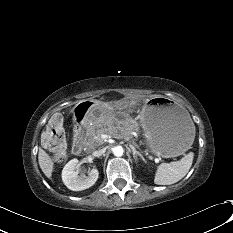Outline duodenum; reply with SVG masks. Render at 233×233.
<instances>
[{"instance_id":"410a0bca","label":"duodenum","mask_w":233,"mask_h":233,"mask_svg":"<svg viewBox=\"0 0 233 233\" xmlns=\"http://www.w3.org/2000/svg\"><path fill=\"white\" fill-rule=\"evenodd\" d=\"M93 102L92 101H84L78 103L71 112V123L74 129V142H73V151L76 154H80L84 148L83 140H82V130L86 123V116L90 115L93 110Z\"/></svg>"}]
</instances>
